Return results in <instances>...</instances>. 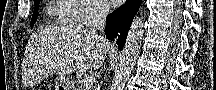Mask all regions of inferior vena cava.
I'll use <instances>...</instances> for the list:
<instances>
[{
  "label": "inferior vena cava",
  "mask_w": 216,
  "mask_h": 90,
  "mask_svg": "<svg viewBox=\"0 0 216 90\" xmlns=\"http://www.w3.org/2000/svg\"><path fill=\"white\" fill-rule=\"evenodd\" d=\"M109 14V6H106V4H93L92 8V20L90 22L89 26V32H96V30H99V32H104L105 30V20L106 16ZM101 38L103 44L104 50H108L109 42L103 38V36H99Z\"/></svg>",
  "instance_id": "1"
}]
</instances>
